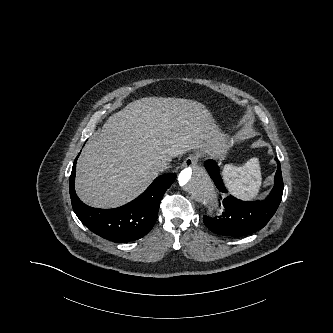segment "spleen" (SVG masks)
<instances>
[{
	"instance_id": "obj_1",
	"label": "spleen",
	"mask_w": 333,
	"mask_h": 333,
	"mask_svg": "<svg viewBox=\"0 0 333 333\" xmlns=\"http://www.w3.org/2000/svg\"><path fill=\"white\" fill-rule=\"evenodd\" d=\"M258 158H252L242 167L224 166L222 175L230 193L236 198L249 201L257 197L262 183Z\"/></svg>"
}]
</instances>
